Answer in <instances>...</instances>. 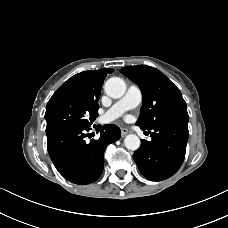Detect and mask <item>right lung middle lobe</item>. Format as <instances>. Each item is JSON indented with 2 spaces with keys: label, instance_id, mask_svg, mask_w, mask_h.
<instances>
[{
  "label": "right lung middle lobe",
  "instance_id": "dd1d6c3e",
  "mask_svg": "<svg viewBox=\"0 0 228 228\" xmlns=\"http://www.w3.org/2000/svg\"><path fill=\"white\" fill-rule=\"evenodd\" d=\"M98 108V101L85 98L74 88L62 85L46 107V134L68 127H90L98 116Z\"/></svg>",
  "mask_w": 228,
  "mask_h": 228
}]
</instances>
